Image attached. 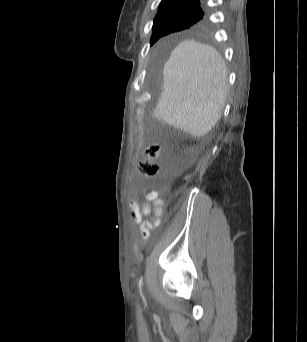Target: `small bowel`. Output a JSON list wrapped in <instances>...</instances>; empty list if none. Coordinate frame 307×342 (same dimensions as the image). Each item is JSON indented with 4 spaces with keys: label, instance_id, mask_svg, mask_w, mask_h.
<instances>
[{
    "label": "small bowel",
    "instance_id": "small-bowel-1",
    "mask_svg": "<svg viewBox=\"0 0 307 342\" xmlns=\"http://www.w3.org/2000/svg\"><path fill=\"white\" fill-rule=\"evenodd\" d=\"M150 202L153 203V217L151 221H145L143 220V216H150L152 214ZM163 206L164 201L159 197V192L155 190L146 195V201L142 205H139L135 201L130 202L132 218L140 225L142 243L147 241L153 228L160 224Z\"/></svg>",
    "mask_w": 307,
    "mask_h": 342
}]
</instances>
